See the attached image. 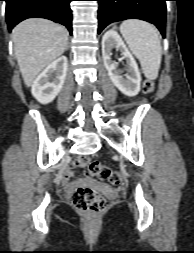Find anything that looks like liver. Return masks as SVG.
<instances>
[{
    "label": "liver",
    "instance_id": "liver-1",
    "mask_svg": "<svg viewBox=\"0 0 194 253\" xmlns=\"http://www.w3.org/2000/svg\"><path fill=\"white\" fill-rule=\"evenodd\" d=\"M15 55L27 87L40 72L67 47V30L50 20L32 18L19 23L12 31Z\"/></svg>",
    "mask_w": 194,
    "mask_h": 253
}]
</instances>
